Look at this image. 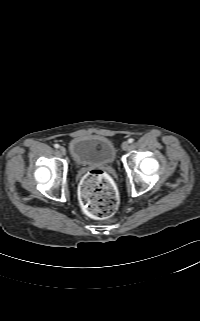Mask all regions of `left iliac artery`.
<instances>
[{
    "instance_id": "left-iliac-artery-1",
    "label": "left iliac artery",
    "mask_w": 200,
    "mask_h": 321,
    "mask_svg": "<svg viewBox=\"0 0 200 321\" xmlns=\"http://www.w3.org/2000/svg\"><path fill=\"white\" fill-rule=\"evenodd\" d=\"M133 141H134V140H133L132 138L128 139V142H129V143H133Z\"/></svg>"
}]
</instances>
